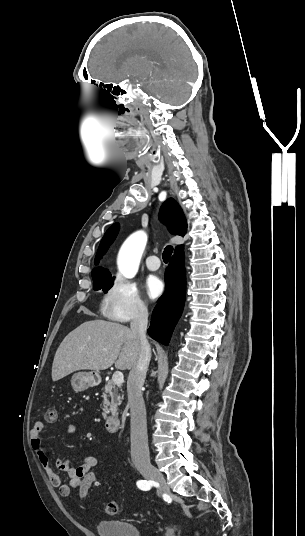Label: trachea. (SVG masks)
<instances>
[{
	"mask_svg": "<svg viewBox=\"0 0 305 536\" xmlns=\"http://www.w3.org/2000/svg\"><path fill=\"white\" fill-rule=\"evenodd\" d=\"M173 253V247L171 245L166 246L162 253V258L165 263H168L169 259L171 258V255Z\"/></svg>",
	"mask_w": 305,
	"mask_h": 536,
	"instance_id": "obj_1",
	"label": "trachea"
}]
</instances>
